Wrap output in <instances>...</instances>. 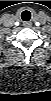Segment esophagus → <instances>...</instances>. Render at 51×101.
<instances>
[{"instance_id": "34e87169", "label": "esophagus", "mask_w": 51, "mask_h": 101, "mask_svg": "<svg viewBox=\"0 0 51 101\" xmlns=\"http://www.w3.org/2000/svg\"><path fill=\"white\" fill-rule=\"evenodd\" d=\"M23 26H24V27H31L32 24H31L30 22H24V23H23Z\"/></svg>"}]
</instances>
